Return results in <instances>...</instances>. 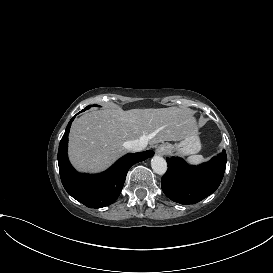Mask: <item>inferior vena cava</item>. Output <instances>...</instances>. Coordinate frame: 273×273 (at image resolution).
Returning <instances> with one entry per match:
<instances>
[{
  "instance_id": "obj_1",
  "label": "inferior vena cava",
  "mask_w": 273,
  "mask_h": 273,
  "mask_svg": "<svg viewBox=\"0 0 273 273\" xmlns=\"http://www.w3.org/2000/svg\"><path fill=\"white\" fill-rule=\"evenodd\" d=\"M147 146V142L143 140H133L125 142V148L131 152H140Z\"/></svg>"
}]
</instances>
